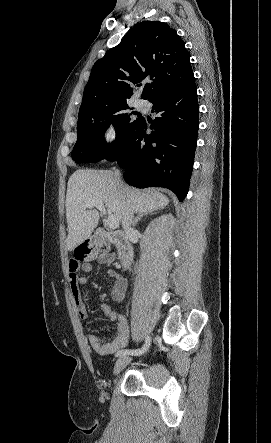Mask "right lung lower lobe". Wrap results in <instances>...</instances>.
Wrapping results in <instances>:
<instances>
[{"instance_id":"right-lung-lower-lobe-1","label":"right lung lower lobe","mask_w":271,"mask_h":443,"mask_svg":"<svg viewBox=\"0 0 271 443\" xmlns=\"http://www.w3.org/2000/svg\"><path fill=\"white\" fill-rule=\"evenodd\" d=\"M158 114L150 124L142 119L124 138L114 159L124 168V179L138 188L160 186L173 191L180 201L190 184L199 126L195 78L167 89L152 100Z\"/></svg>"}]
</instances>
